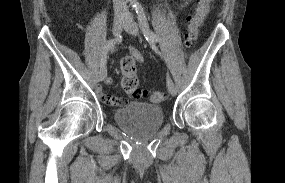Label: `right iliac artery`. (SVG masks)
Returning <instances> with one entry per match:
<instances>
[{
  "label": "right iliac artery",
  "mask_w": 285,
  "mask_h": 183,
  "mask_svg": "<svg viewBox=\"0 0 285 183\" xmlns=\"http://www.w3.org/2000/svg\"><path fill=\"white\" fill-rule=\"evenodd\" d=\"M118 38H115V39H109L105 45H104V49H103V52H102V56H101V60H100V66H104L105 63H106V58H107V54L109 52V50H112L114 48V45L116 43Z\"/></svg>",
  "instance_id": "right-iliac-artery-1"
}]
</instances>
